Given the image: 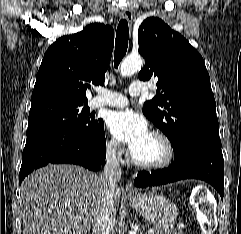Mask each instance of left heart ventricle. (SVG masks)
<instances>
[{
	"label": "left heart ventricle",
	"instance_id": "left-heart-ventricle-1",
	"mask_svg": "<svg viewBox=\"0 0 241 234\" xmlns=\"http://www.w3.org/2000/svg\"><path fill=\"white\" fill-rule=\"evenodd\" d=\"M132 155L141 162H157L164 156V147L158 138L149 134L144 143Z\"/></svg>",
	"mask_w": 241,
	"mask_h": 234
}]
</instances>
